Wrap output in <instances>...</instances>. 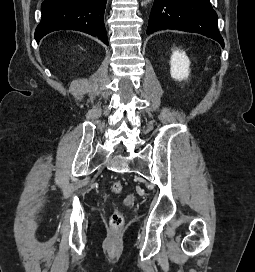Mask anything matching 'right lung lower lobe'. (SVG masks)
I'll use <instances>...</instances> for the list:
<instances>
[{
	"instance_id": "right-lung-lower-lobe-1",
	"label": "right lung lower lobe",
	"mask_w": 255,
	"mask_h": 272,
	"mask_svg": "<svg viewBox=\"0 0 255 272\" xmlns=\"http://www.w3.org/2000/svg\"><path fill=\"white\" fill-rule=\"evenodd\" d=\"M106 0H44L41 22L35 31L37 42L56 30H78L98 37L108 45L104 25Z\"/></svg>"
}]
</instances>
